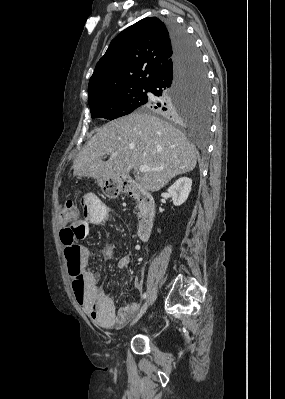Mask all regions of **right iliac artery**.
Wrapping results in <instances>:
<instances>
[{
	"label": "right iliac artery",
	"mask_w": 285,
	"mask_h": 399,
	"mask_svg": "<svg viewBox=\"0 0 285 399\" xmlns=\"http://www.w3.org/2000/svg\"><path fill=\"white\" fill-rule=\"evenodd\" d=\"M146 297H147V292H144V293L142 294V296H141V300L143 301L144 299H146Z\"/></svg>",
	"instance_id": "obj_1"
}]
</instances>
